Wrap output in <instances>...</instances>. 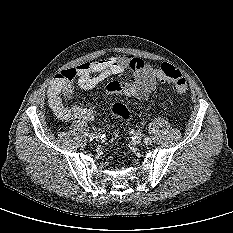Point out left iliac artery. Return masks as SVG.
<instances>
[{"label": "left iliac artery", "mask_w": 233, "mask_h": 233, "mask_svg": "<svg viewBox=\"0 0 233 233\" xmlns=\"http://www.w3.org/2000/svg\"><path fill=\"white\" fill-rule=\"evenodd\" d=\"M151 142H152V141H151V139H150V138H148V137H147V138H145V143H146V144H151Z\"/></svg>", "instance_id": "44dca946"}]
</instances>
